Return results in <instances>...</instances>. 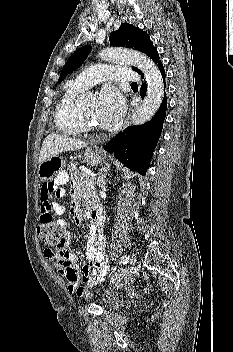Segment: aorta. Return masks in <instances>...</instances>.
Here are the masks:
<instances>
[{
    "mask_svg": "<svg viewBox=\"0 0 233 352\" xmlns=\"http://www.w3.org/2000/svg\"><path fill=\"white\" fill-rule=\"evenodd\" d=\"M99 55L104 60L132 64L143 72L148 85L147 93L143 103L132 114L131 124L141 125L150 120L160 107L164 96L163 79L154 62L143 53L120 48L104 49ZM89 96L86 93L81 98Z\"/></svg>",
    "mask_w": 233,
    "mask_h": 352,
    "instance_id": "aorta-1",
    "label": "aorta"
}]
</instances>
